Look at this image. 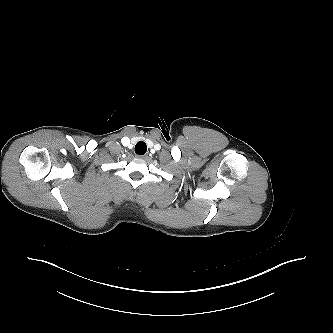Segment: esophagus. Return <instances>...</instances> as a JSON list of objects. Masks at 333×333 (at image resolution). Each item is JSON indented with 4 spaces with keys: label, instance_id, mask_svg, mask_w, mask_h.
Wrapping results in <instances>:
<instances>
[{
    "label": "esophagus",
    "instance_id": "34e87169",
    "mask_svg": "<svg viewBox=\"0 0 333 333\" xmlns=\"http://www.w3.org/2000/svg\"><path fill=\"white\" fill-rule=\"evenodd\" d=\"M147 156L146 155H137V158L139 159H145Z\"/></svg>",
    "mask_w": 333,
    "mask_h": 333
}]
</instances>
